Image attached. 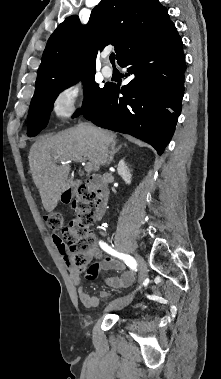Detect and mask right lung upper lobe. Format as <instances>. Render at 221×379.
I'll return each instance as SVG.
<instances>
[{"label": "right lung upper lobe", "instance_id": "right-lung-upper-lobe-1", "mask_svg": "<svg viewBox=\"0 0 221 379\" xmlns=\"http://www.w3.org/2000/svg\"><path fill=\"white\" fill-rule=\"evenodd\" d=\"M170 23L168 10L158 0H101L87 25L72 15L50 36L35 92L55 81L95 72V55L110 44L119 62Z\"/></svg>", "mask_w": 221, "mask_h": 379}]
</instances>
